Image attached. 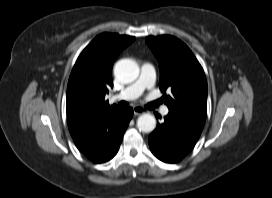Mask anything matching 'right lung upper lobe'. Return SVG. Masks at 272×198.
<instances>
[{"label": "right lung upper lobe", "instance_id": "obj_1", "mask_svg": "<svg viewBox=\"0 0 272 198\" xmlns=\"http://www.w3.org/2000/svg\"><path fill=\"white\" fill-rule=\"evenodd\" d=\"M134 40L132 36L102 33L79 55L68 81L66 98L67 123L72 137L116 107L105 100L113 85L112 65Z\"/></svg>", "mask_w": 272, "mask_h": 198}]
</instances>
